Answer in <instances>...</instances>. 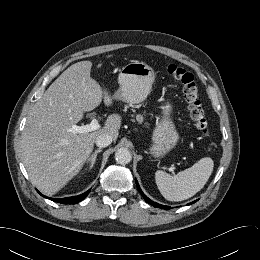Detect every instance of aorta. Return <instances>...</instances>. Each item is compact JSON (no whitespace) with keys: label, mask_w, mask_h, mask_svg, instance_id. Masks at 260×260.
Returning <instances> with one entry per match:
<instances>
[{"label":"aorta","mask_w":260,"mask_h":260,"mask_svg":"<svg viewBox=\"0 0 260 260\" xmlns=\"http://www.w3.org/2000/svg\"><path fill=\"white\" fill-rule=\"evenodd\" d=\"M115 159L117 163L125 165L132 160V154L128 148L121 147L116 151Z\"/></svg>","instance_id":"obj_1"}]
</instances>
